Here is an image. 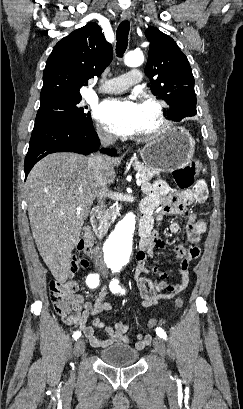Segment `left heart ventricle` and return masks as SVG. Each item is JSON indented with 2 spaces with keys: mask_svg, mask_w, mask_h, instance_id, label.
<instances>
[{
  "mask_svg": "<svg viewBox=\"0 0 243 409\" xmlns=\"http://www.w3.org/2000/svg\"><path fill=\"white\" fill-rule=\"evenodd\" d=\"M139 125L137 133L150 130L157 125V118L152 106L146 103H139Z\"/></svg>",
  "mask_w": 243,
  "mask_h": 409,
  "instance_id": "obj_1",
  "label": "left heart ventricle"
}]
</instances>
